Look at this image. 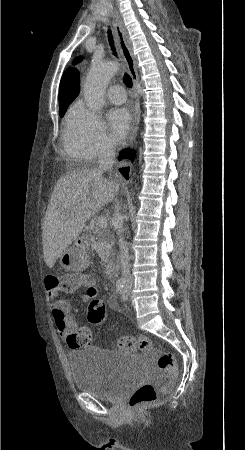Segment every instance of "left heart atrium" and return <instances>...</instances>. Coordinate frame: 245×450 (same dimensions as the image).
I'll use <instances>...</instances> for the list:
<instances>
[{
  "label": "left heart atrium",
  "mask_w": 245,
  "mask_h": 450,
  "mask_svg": "<svg viewBox=\"0 0 245 450\" xmlns=\"http://www.w3.org/2000/svg\"><path fill=\"white\" fill-rule=\"evenodd\" d=\"M109 132L112 139L122 142L131 126V115L126 108L116 107L111 109L107 115Z\"/></svg>",
  "instance_id": "obj_1"
}]
</instances>
